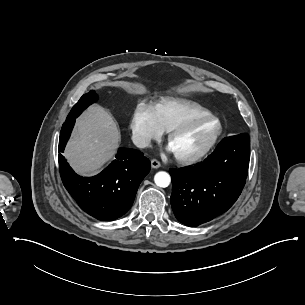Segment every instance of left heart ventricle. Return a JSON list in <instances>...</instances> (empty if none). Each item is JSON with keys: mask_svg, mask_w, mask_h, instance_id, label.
Masks as SVG:
<instances>
[{"mask_svg": "<svg viewBox=\"0 0 305 305\" xmlns=\"http://www.w3.org/2000/svg\"><path fill=\"white\" fill-rule=\"evenodd\" d=\"M219 129L215 119H208L189 127L173 144L176 153H192L206 147Z\"/></svg>", "mask_w": 305, "mask_h": 305, "instance_id": "left-heart-ventricle-1", "label": "left heart ventricle"}]
</instances>
